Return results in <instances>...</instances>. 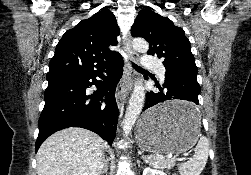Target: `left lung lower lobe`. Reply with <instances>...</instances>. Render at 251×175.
Here are the masks:
<instances>
[{
  "label": "left lung lower lobe",
  "instance_id": "left-lung-lower-lobe-1",
  "mask_svg": "<svg viewBox=\"0 0 251 175\" xmlns=\"http://www.w3.org/2000/svg\"><path fill=\"white\" fill-rule=\"evenodd\" d=\"M163 90L160 92L150 91L147 96L146 111L143 122L146 125H157L169 122L192 121L200 116L198 95L200 86L197 82V75L176 69H166ZM171 99L189 101V104L164 108L159 110H149L152 106Z\"/></svg>",
  "mask_w": 251,
  "mask_h": 175
}]
</instances>
